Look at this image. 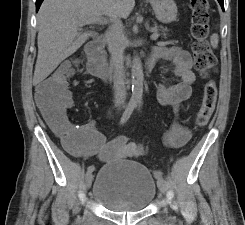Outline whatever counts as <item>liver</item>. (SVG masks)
I'll list each match as a JSON object with an SVG mask.
<instances>
[{"instance_id":"6515ba94","label":"liver","mask_w":245,"mask_h":225,"mask_svg":"<svg viewBox=\"0 0 245 225\" xmlns=\"http://www.w3.org/2000/svg\"><path fill=\"white\" fill-rule=\"evenodd\" d=\"M134 6V0H44L37 15L34 83L48 77L91 36L81 31L84 20L102 15L126 19Z\"/></svg>"}]
</instances>
